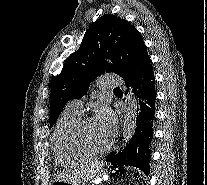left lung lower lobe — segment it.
I'll return each instance as SVG.
<instances>
[{
    "label": "left lung lower lobe",
    "instance_id": "1",
    "mask_svg": "<svg viewBox=\"0 0 207 185\" xmlns=\"http://www.w3.org/2000/svg\"><path fill=\"white\" fill-rule=\"evenodd\" d=\"M127 86L133 88L137 96V124L135 133L128 145L118 154L112 152L107 161L118 164L120 167L134 166L146 175L150 173L151 142L153 139V120L155 115V77L152 65L136 76L127 80Z\"/></svg>",
    "mask_w": 207,
    "mask_h": 185
}]
</instances>
